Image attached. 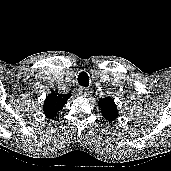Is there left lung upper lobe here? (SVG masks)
I'll use <instances>...</instances> for the list:
<instances>
[{"mask_svg": "<svg viewBox=\"0 0 171 171\" xmlns=\"http://www.w3.org/2000/svg\"><path fill=\"white\" fill-rule=\"evenodd\" d=\"M99 106L103 117L108 121H114L118 117V110L115 102L111 97L101 98Z\"/></svg>", "mask_w": 171, "mask_h": 171, "instance_id": "obj_1", "label": "left lung upper lobe"}]
</instances>
